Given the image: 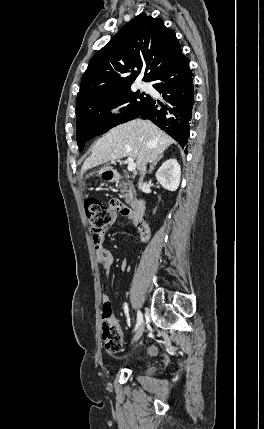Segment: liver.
Instances as JSON below:
<instances>
[{"label":"liver","mask_w":264,"mask_h":429,"mask_svg":"<svg viewBox=\"0 0 264 429\" xmlns=\"http://www.w3.org/2000/svg\"><path fill=\"white\" fill-rule=\"evenodd\" d=\"M174 140L149 120L135 119L108 131L94 144L91 155L85 160L81 174L101 164L123 157L136 160L142 172L148 162L158 158ZM112 170L104 167L99 173Z\"/></svg>","instance_id":"1"}]
</instances>
